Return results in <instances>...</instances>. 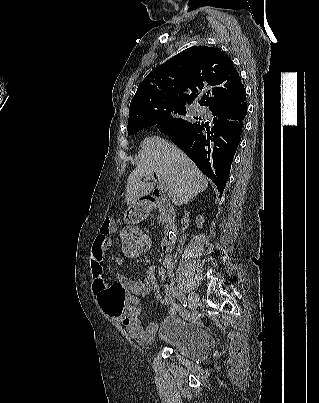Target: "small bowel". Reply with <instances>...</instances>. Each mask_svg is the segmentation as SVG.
I'll use <instances>...</instances> for the list:
<instances>
[{
  "label": "small bowel",
  "instance_id": "small-bowel-1",
  "mask_svg": "<svg viewBox=\"0 0 319 403\" xmlns=\"http://www.w3.org/2000/svg\"><path fill=\"white\" fill-rule=\"evenodd\" d=\"M114 229L115 226L111 220L104 221L94 243L90 262L93 291L97 295L102 313L119 318L129 335L139 343L150 344L154 340L158 325L156 323L145 326L142 324L138 297L154 292L162 304L170 306L171 311H175L177 307L171 297L173 262L169 256H165L162 265H150L142 279L131 280L120 274L118 276L120 284H107L104 257L109 243L108 236ZM121 262L122 260L119 259L118 263ZM158 282L164 286L163 295L160 294ZM126 290L129 295H126Z\"/></svg>",
  "mask_w": 319,
  "mask_h": 403
}]
</instances>
